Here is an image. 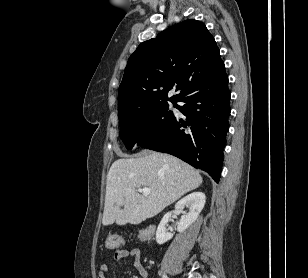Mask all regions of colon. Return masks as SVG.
Instances as JSON below:
<instances>
[{
	"label": "colon",
	"mask_w": 308,
	"mask_h": 278,
	"mask_svg": "<svg viewBox=\"0 0 308 278\" xmlns=\"http://www.w3.org/2000/svg\"><path fill=\"white\" fill-rule=\"evenodd\" d=\"M155 230V226H144V229L139 231V236L142 237L144 242H147L151 239L150 237H155ZM123 242L124 240L121 236L110 235L107 237L105 245L108 249L116 250L123 244Z\"/></svg>",
	"instance_id": "colon-1"
}]
</instances>
